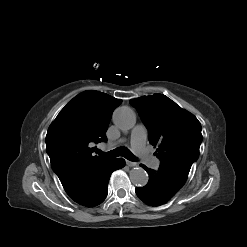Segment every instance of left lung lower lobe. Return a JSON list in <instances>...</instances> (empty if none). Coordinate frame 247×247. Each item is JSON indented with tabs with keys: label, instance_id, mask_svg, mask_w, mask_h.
I'll return each mask as SVG.
<instances>
[{
	"label": "left lung lower lobe",
	"instance_id": "obj_1",
	"mask_svg": "<svg viewBox=\"0 0 247 247\" xmlns=\"http://www.w3.org/2000/svg\"><path fill=\"white\" fill-rule=\"evenodd\" d=\"M149 175V182L142 188H137L139 199L150 206H159L169 201L183 186L164 170L154 171L141 165Z\"/></svg>",
	"mask_w": 247,
	"mask_h": 247
}]
</instances>
